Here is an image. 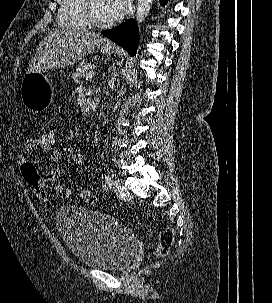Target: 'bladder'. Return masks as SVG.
<instances>
[{
	"label": "bladder",
	"instance_id": "bladder-1",
	"mask_svg": "<svg viewBox=\"0 0 272 303\" xmlns=\"http://www.w3.org/2000/svg\"><path fill=\"white\" fill-rule=\"evenodd\" d=\"M57 229L79 263L100 270H122L137 250L135 234L114 217L77 205L61 207Z\"/></svg>",
	"mask_w": 272,
	"mask_h": 303
}]
</instances>
